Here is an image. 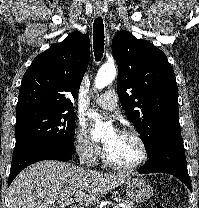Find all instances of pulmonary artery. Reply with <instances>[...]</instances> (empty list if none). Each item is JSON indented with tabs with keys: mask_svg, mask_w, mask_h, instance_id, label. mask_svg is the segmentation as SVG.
Wrapping results in <instances>:
<instances>
[{
	"mask_svg": "<svg viewBox=\"0 0 199 208\" xmlns=\"http://www.w3.org/2000/svg\"><path fill=\"white\" fill-rule=\"evenodd\" d=\"M94 104L108 111H113L118 105V95L115 90L108 89L94 99Z\"/></svg>",
	"mask_w": 199,
	"mask_h": 208,
	"instance_id": "pulmonary-artery-1",
	"label": "pulmonary artery"
}]
</instances>
